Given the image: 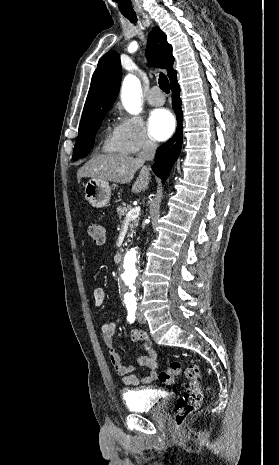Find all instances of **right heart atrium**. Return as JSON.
<instances>
[{
	"instance_id": "obj_1",
	"label": "right heart atrium",
	"mask_w": 279,
	"mask_h": 465,
	"mask_svg": "<svg viewBox=\"0 0 279 465\" xmlns=\"http://www.w3.org/2000/svg\"><path fill=\"white\" fill-rule=\"evenodd\" d=\"M114 137L123 149L130 154L156 147L155 140L146 130L143 121L135 115L121 112L115 127Z\"/></svg>"
}]
</instances>
